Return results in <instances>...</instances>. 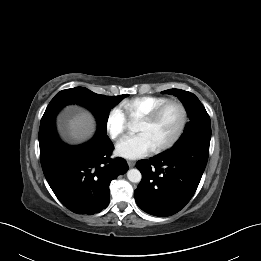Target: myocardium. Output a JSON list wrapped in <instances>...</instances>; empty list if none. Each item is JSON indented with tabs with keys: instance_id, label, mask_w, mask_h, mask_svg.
I'll return each mask as SVG.
<instances>
[{
	"instance_id": "myocardium-1",
	"label": "myocardium",
	"mask_w": 261,
	"mask_h": 261,
	"mask_svg": "<svg viewBox=\"0 0 261 261\" xmlns=\"http://www.w3.org/2000/svg\"><path fill=\"white\" fill-rule=\"evenodd\" d=\"M171 106L176 107L179 110L180 123L178 125L176 132L169 140L152 149V152L154 153H160L162 151H165L171 148L172 146H174L179 141L188 124V119H189L188 111L185 105L181 101L176 99H169L138 120V122H142L145 124H152L158 120V118L163 114V112L167 108Z\"/></svg>"
}]
</instances>
